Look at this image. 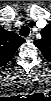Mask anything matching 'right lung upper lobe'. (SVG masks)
<instances>
[{
  "instance_id": "obj_1",
  "label": "right lung upper lobe",
  "mask_w": 51,
  "mask_h": 101,
  "mask_svg": "<svg viewBox=\"0 0 51 101\" xmlns=\"http://www.w3.org/2000/svg\"><path fill=\"white\" fill-rule=\"evenodd\" d=\"M25 40L13 31L0 27V66L8 63Z\"/></svg>"
}]
</instances>
